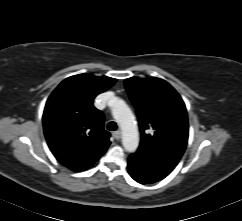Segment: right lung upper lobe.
Listing matches in <instances>:
<instances>
[{
    "mask_svg": "<svg viewBox=\"0 0 242 221\" xmlns=\"http://www.w3.org/2000/svg\"><path fill=\"white\" fill-rule=\"evenodd\" d=\"M116 79L79 74L62 81L47 100L43 113L44 134L56 159L79 172L94 164L110 145L104 114L94 98Z\"/></svg>",
    "mask_w": 242,
    "mask_h": 221,
    "instance_id": "obj_1",
    "label": "right lung upper lobe"
}]
</instances>
